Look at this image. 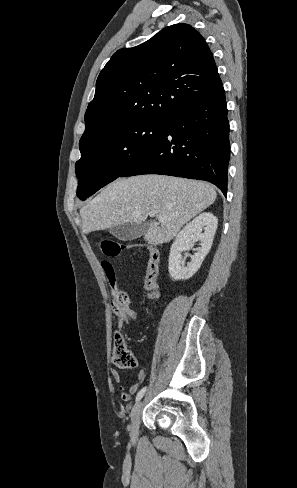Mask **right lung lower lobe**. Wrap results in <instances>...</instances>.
<instances>
[{
    "instance_id": "right-lung-lower-lobe-1",
    "label": "right lung lower lobe",
    "mask_w": 297,
    "mask_h": 488,
    "mask_svg": "<svg viewBox=\"0 0 297 488\" xmlns=\"http://www.w3.org/2000/svg\"><path fill=\"white\" fill-rule=\"evenodd\" d=\"M230 156L222 85L172 116L158 139L120 177L162 174L209 181L226 197Z\"/></svg>"
}]
</instances>
